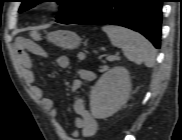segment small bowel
<instances>
[{"instance_id": "small-bowel-1", "label": "small bowel", "mask_w": 182, "mask_h": 140, "mask_svg": "<svg viewBox=\"0 0 182 140\" xmlns=\"http://www.w3.org/2000/svg\"><path fill=\"white\" fill-rule=\"evenodd\" d=\"M17 59L20 66L23 69V75L26 82L33 87V92L37 99H39L41 106L46 110L50 117L55 119L57 116V108L54 100L50 97L44 96L43 90L35 85V74L33 71V60L29 55V52L35 54H42L43 50L36 44L29 42L25 39H19L17 41ZM79 58L82 59L83 55L80 54ZM56 64L61 68H66L69 65L68 57L61 55L56 58ZM80 79L73 82L72 88L76 90L81 85V80L91 81L95 78V74L88 70H81L79 73ZM73 109L75 113V130L72 133L71 140H76L79 135V130L85 139L93 138L98 131V123L93 115L86 107V103L82 98H77L74 101Z\"/></svg>"}]
</instances>
